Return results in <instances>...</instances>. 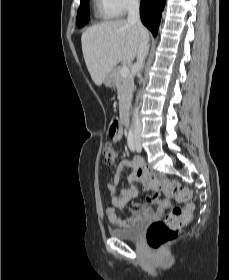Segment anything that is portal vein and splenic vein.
I'll return each mask as SVG.
<instances>
[{"mask_svg":"<svg viewBox=\"0 0 229 280\" xmlns=\"http://www.w3.org/2000/svg\"><path fill=\"white\" fill-rule=\"evenodd\" d=\"M129 73H130L129 68L126 65L122 66V68L120 69L121 76L126 77L129 75Z\"/></svg>","mask_w":229,"mask_h":280,"instance_id":"18ae733b","label":"portal vein and splenic vein"}]
</instances>
